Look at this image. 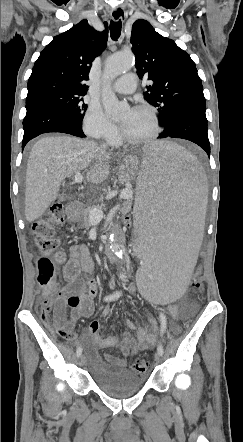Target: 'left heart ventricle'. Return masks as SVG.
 I'll return each mask as SVG.
<instances>
[{
    "mask_svg": "<svg viewBox=\"0 0 243 442\" xmlns=\"http://www.w3.org/2000/svg\"><path fill=\"white\" fill-rule=\"evenodd\" d=\"M121 128L130 139H142L154 131V120L151 114L143 110L127 111L121 118Z\"/></svg>",
    "mask_w": 243,
    "mask_h": 442,
    "instance_id": "obj_1",
    "label": "left heart ventricle"
}]
</instances>
